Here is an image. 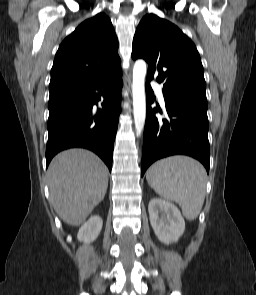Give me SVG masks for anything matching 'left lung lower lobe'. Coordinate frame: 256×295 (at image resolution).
I'll return each mask as SVG.
<instances>
[{"label":"left lung lower lobe","mask_w":256,"mask_h":295,"mask_svg":"<svg viewBox=\"0 0 256 295\" xmlns=\"http://www.w3.org/2000/svg\"><path fill=\"white\" fill-rule=\"evenodd\" d=\"M150 79L146 82V122L143 137L141 175L156 160L177 154L199 160L209 172L210 147L208 141L207 106L164 96L167 115L160 120L159 109L151 108L153 91Z\"/></svg>","instance_id":"0a47b994"}]
</instances>
